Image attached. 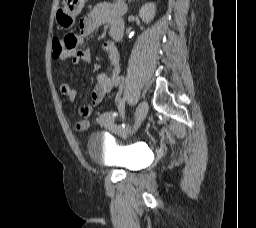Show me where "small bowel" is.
Masks as SVG:
<instances>
[{
  "instance_id": "obj_1",
  "label": "small bowel",
  "mask_w": 256,
  "mask_h": 228,
  "mask_svg": "<svg viewBox=\"0 0 256 228\" xmlns=\"http://www.w3.org/2000/svg\"><path fill=\"white\" fill-rule=\"evenodd\" d=\"M125 4L117 0L113 3H101L96 5L80 22L79 34H67L63 39V50L57 57L61 62L70 61L73 65L80 62H89L91 52L84 48L85 39L91 36L100 26L107 24L110 28V34L116 27H123L122 16L125 13ZM106 40L102 43V50L107 53L109 58V73H101L97 77V84L92 92L91 103L83 104L78 107L77 114L80 117L74 123V129L78 132L86 131L89 128V119L93 113V107L100 104L106 95L122 84L121 66L119 52L115 45V38ZM60 92L70 101H75L78 96V90L70 86L67 82L60 84ZM114 133H121L123 128L116 124L108 126Z\"/></svg>"
}]
</instances>
